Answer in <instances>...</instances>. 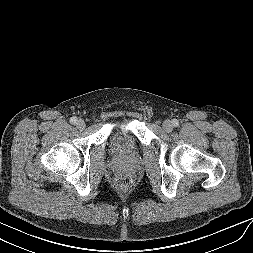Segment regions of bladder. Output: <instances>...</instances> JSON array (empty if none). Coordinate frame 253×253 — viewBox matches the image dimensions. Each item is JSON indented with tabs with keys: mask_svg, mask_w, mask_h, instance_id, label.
I'll list each match as a JSON object with an SVG mask.
<instances>
[{
	"mask_svg": "<svg viewBox=\"0 0 253 253\" xmlns=\"http://www.w3.org/2000/svg\"><path fill=\"white\" fill-rule=\"evenodd\" d=\"M110 146L116 154L128 155L134 151L135 139L129 132L117 128L112 133Z\"/></svg>",
	"mask_w": 253,
	"mask_h": 253,
	"instance_id": "1",
	"label": "bladder"
}]
</instances>
